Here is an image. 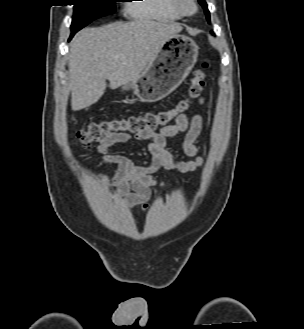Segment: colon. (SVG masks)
<instances>
[{"mask_svg":"<svg viewBox=\"0 0 304 329\" xmlns=\"http://www.w3.org/2000/svg\"><path fill=\"white\" fill-rule=\"evenodd\" d=\"M208 62H204L192 77L187 96L180 98L170 109L147 112L121 118L101 119L91 122L87 128L77 134V139L84 147L100 142L108 136L116 134H133L150 136L156 130L168 126L177 116L184 114L191 101L198 97L205 86Z\"/></svg>","mask_w":304,"mask_h":329,"instance_id":"5ec220e1","label":"colon"}]
</instances>
